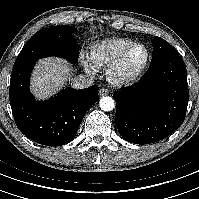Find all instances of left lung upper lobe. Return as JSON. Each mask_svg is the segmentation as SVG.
Listing matches in <instances>:
<instances>
[{
    "label": "left lung upper lobe",
    "instance_id": "left-lung-upper-lobe-1",
    "mask_svg": "<svg viewBox=\"0 0 199 199\" xmlns=\"http://www.w3.org/2000/svg\"><path fill=\"white\" fill-rule=\"evenodd\" d=\"M153 53L151 63L172 55H177L179 52L173 48L162 38L154 37L152 39Z\"/></svg>",
    "mask_w": 199,
    "mask_h": 199
}]
</instances>
